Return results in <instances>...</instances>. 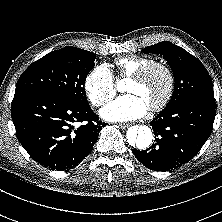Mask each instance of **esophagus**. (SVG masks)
<instances>
[{
	"label": "esophagus",
	"mask_w": 222,
	"mask_h": 222,
	"mask_svg": "<svg viewBox=\"0 0 222 222\" xmlns=\"http://www.w3.org/2000/svg\"><path fill=\"white\" fill-rule=\"evenodd\" d=\"M118 127L121 128V129H126V128L129 127V124L121 123V124H118Z\"/></svg>",
	"instance_id": "34e87169"
}]
</instances>
